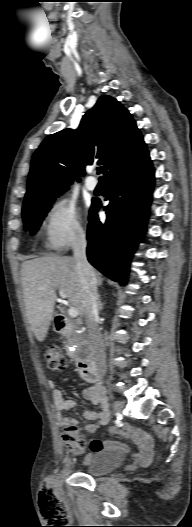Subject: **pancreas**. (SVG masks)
I'll return each instance as SVG.
<instances>
[{"instance_id":"1","label":"pancreas","mask_w":192,"mask_h":527,"mask_svg":"<svg viewBox=\"0 0 192 527\" xmlns=\"http://www.w3.org/2000/svg\"><path fill=\"white\" fill-rule=\"evenodd\" d=\"M72 341L74 343H80L81 341V336L79 334H74L73 337H72Z\"/></svg>"}]
</instances>
